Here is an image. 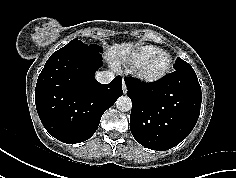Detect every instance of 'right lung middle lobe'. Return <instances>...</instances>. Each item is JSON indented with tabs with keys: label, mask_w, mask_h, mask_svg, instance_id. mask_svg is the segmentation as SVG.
Here are the masks:
<instances>
[{
	"label": "right lung middle lobe",
	"mask_w": 236,
	"mask_h": 178,
	"mask_svg": "<svg viewBox=\"0 0 236 178\" xmlns=\"http://www.w3.org/2000/svg\"><path fill=\"white\" fill-rule=\"evenodd\" d=\"M75 48H87V49H90V50H94L96 52L101 51V48L99 46L95 45V44H92V45L88 46V45L82 43L81 41H78L77 39H74V40L70 41L66 46H64L61 49L57 50L56 52L67 51V50L75 49Z\"/></svg>",
	"instance_id": "obj_1"
}]
</instances>
